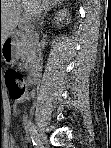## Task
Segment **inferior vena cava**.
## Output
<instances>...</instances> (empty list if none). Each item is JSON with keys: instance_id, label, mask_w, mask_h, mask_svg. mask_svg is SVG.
Returning a JSON list of instances; mask_svg holds the SVG:
<instances>
[{"instance_id": "inferior-vena-cava-1", "label": "inferior vena cava", "mask_w": 111, "mask_h": 148, "mask_svg": "<svg viewBox=\"0 0 111 148\" xmlns=\"http://www.w3.org/2000/svg\"><path fill=\"white\" fill-rule=\"evenodd\" d=\"M48 7H49V3H48V1H45V4L42 5L41 7H39L35 11L34 17H35L36 23L38 25H40L42 11L46 10ZM38 29H39V26H36V28H34V31L32 33V44H33L32 48H33L35 53L38 52L39 48H40Z\"/></svg>"}]
</instances>
